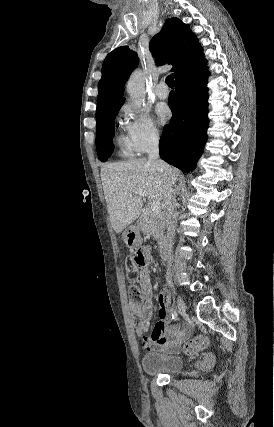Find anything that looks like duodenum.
<instances>
[{"label":"duodenum","instance_id":"duodenum-1","mask_svg":"<svg viewBox=\"0 0 274 427\" xmlns=\"http://www.w3.org/2000/svg\"><path fill=\"white\" fill-rule=\"evenodd\" d=\"M159 254L163 260H167V257H168L167 245L164 242H161L159 244Z\"/></svg>","mask_w":274,"mask_h":427}]
</instances>
